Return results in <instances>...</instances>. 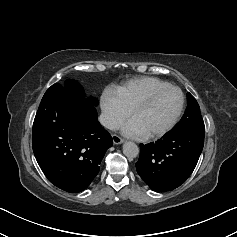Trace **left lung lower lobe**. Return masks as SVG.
I'll list each match as a JSON object with an SVG mask.
<instances>
[{"label": "left lung lower lobe", "instance_id": "1", "mask_svg": "<svg viewBox=\"0 0 237 237\" xmlns=\"http://www.w3.org/2000/svg\"><path fill=\"white\" fill-rule=\"evenodd\" d=\"M205 130L169 132L155 143L141 144L138 174L154 191H170L191 175L204 145Z\"/></svg>", "mask_w": 237, "mask_h": 237}]
</instances>
